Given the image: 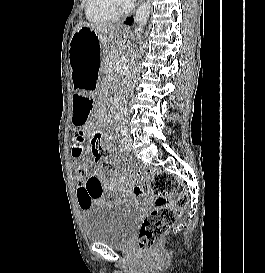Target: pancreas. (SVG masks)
I'll return each instance as SVG.
<instances>
[{"label":"pancreas","instance_id":"pancreas-1","mask_svg":"<svg viewBox=\"0 0 265 273\" xmlns=\"http://www.w3.org/2000/svg\"><path fill=\"white\" fill-rule=\"evenodd\" d=\"M124 54L125 49L120 50L119 48H112L111 51L106 55L103 62V72H113V68L119 66V64L122 62V57Z\"/></svg>","mask_w":265,"mask_h":273}]
</instances>
